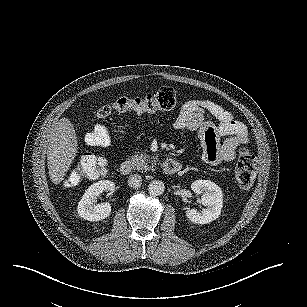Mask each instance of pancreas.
I'll return each mask as SVG.
<instances>
[{
  "mask_svg": "<svg viewBox=\"0 0 307 307\" xmlns=\"http://www.w3.org/2000/svg\"><path fill=\"white\" fill-rule=\"evenodd\" d=\"M130 160L134 170L142 173L148 170H155L157 156H149L148 154L136 153L131 157Z\"/></svg>",
  "mask_w": 307,
  "mask_h": 307,
  "instance_id": "cf45deb5",
  "label": "pancreas"
}]
</instances>
